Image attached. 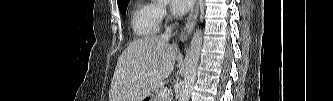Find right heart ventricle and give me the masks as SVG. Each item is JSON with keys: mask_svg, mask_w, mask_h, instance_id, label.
Returning a JSON list of instances; mask_svg holds the SVG:
<instances>
[{"mask_svg": "<svg viewBox=\"0 0 333 101\" xmlns=\"http://www.w3.org/2000/svg\"><path fill=\"white\" fill-rule=\"evenodd\" d=\"M159 5L156 1L140 3L131 19V27L136 36L149 38L160 28Z\"/></svg>", "mask_w": 333, "mask_h": 101, "instance_id": "obj_1", "label": "right heart ventricle"}]
</instances>
